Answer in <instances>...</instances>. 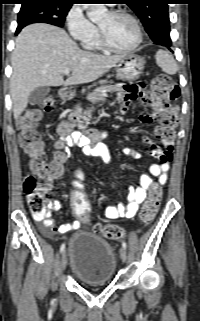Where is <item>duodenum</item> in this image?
I'll use <instances>...</instances> for the list:
<instances>
[{
    "label": "duodenum",
    "instance_id": "410a0bca",
    "mask_svg": "<svg viewBox=\"0 0 200 321\" xmlns=\"http://www.w3.org/2000/svg\"><path fill=\"white\" fill-rule=\"evenodd\" d=\"M63 95H64L65 97H68L69 94H68L67 92H64Z\"/></svg>",
    "mask_w": 200,
    "mask_h": 321
}]
</instances>
